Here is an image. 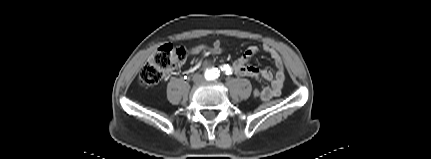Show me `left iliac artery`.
Returning <instances> with one entry per match:
<instances>
[{
  "label": "left iliac artery",
  "instance_id": "obj_1",
  "mask_svg": "<svg viewBox=\"0 0 431 159\" xmlns=\"http://www.w3.org/2000/svg\"><path fill=\"white\" fill-rule=\"evenodd\" d=\"M222 70H223V71H225V74H226V75L231 74V70H230V68L228 67V65H224V67L222 68ZM218 76H219V73H218V72H215V73L213 74V76H212V79L217 78Z\"/></svg>",
  "mask_w": 431,
  "mask_h": 159
}]
</instances>
